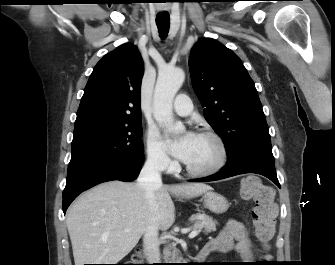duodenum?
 <instances>
[{
	"instance_id": "1",
	"label": "duodenum",
	"mask_w": 335,
	"mask_h": 265,
	"mask_svg": "<svg viewBox=\"0 0 335 265\" xmlns=\"http://www.w3.org/2000/svg\"><path fill=\"white\" fill-rule=\"evenodd\" d=\"M214 250V247L206 244L197 255L196 260L198 262L204 261Z\"/></svg>"
}]
</instances>
